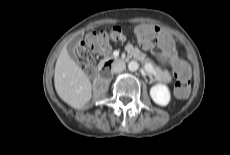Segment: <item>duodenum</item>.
<instances>
[{"label":"duodenum","mask_w":230,"mask_h":155,"mask_svg":"<svg viewBox=\"0 0 230 155\" xmlns=\"http://www.w3.org/2000/svg\"><path fill=\"white\" fill-rule=\"evenodd\" d=\"M121 59L120 58H110L108 60H106L101 68V71H100V77L97 79V84H100L101 82H103L105 79H104V74L108 73L109 72V69L111 66H113L114 64L118 63Z\"/></svg>","instance_id":"1"}]
</instances>
